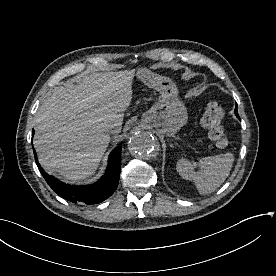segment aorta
Segmentation results:
<instances>
[{
	"label": "aorta",
	"instance_id": "1",
	"mask_svg": "<svg viewBox=\"0 0 276 276\" xmlns=\"http://www.w3.org/2000/svg\"><path fill=\"white\" fill-rule=\"evenodd\" d=\"M158 139L147 131H136L128 142L129 152L137 158L148 160L156 157L159 151Z\"/></svg>",
	"mask_w": 276,
	"mask_h": 276
}]
</instances>
